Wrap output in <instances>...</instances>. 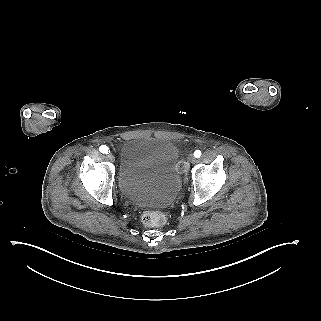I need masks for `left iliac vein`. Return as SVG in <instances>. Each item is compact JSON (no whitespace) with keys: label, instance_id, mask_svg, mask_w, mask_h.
Returning a JSON list of instances; mask_svg holds the SVG:
<instances>
[{"label":"left iliac vein","instance_id":"obj_1","mask_svg":"<svg viewBox=\"0 0 321 321\" xmlns=\"http://www.w3.org/2000/svg\"><path fill=\"white\" fill-rule=\"evenodd\" d=\"M196 158H195V156L193 155V154H190L189 155V161H190V163H195L196 162Z\"/></svg>","mask_w":321,"mask_h":321}]
</instances>
